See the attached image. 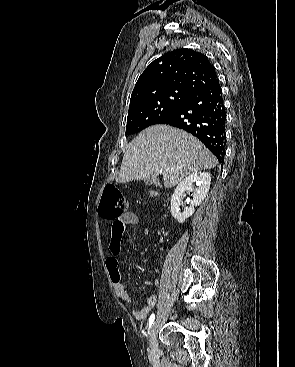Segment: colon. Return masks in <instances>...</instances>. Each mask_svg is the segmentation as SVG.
I'll return each instance as SVG.
<instances>
[{"label": "colon", "mask_w": 295, "mask_h": 367, "mask_svg": "<svg viewBox=\"0 0 295 367\" xmlns=\"http://www.w3.org/2000/svg\"><path fill=\"white\" fill-rule=\"evenodd\" d=\"M127 208L122 192L113 184L105 187L101 201V215L111 221H119Z\"/></svg>", "instance_id": "1"}]
</instances>
